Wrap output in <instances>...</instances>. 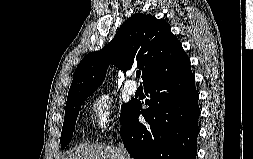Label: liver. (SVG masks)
<instances>
[{
  "mask_svg": "<svg viewBox=\"0 0 253 159\" xmlns=\"http://www.w3.org/2000/svg\"><path fill=\"white\" fill-rule=\"evenodd\" d=\"M65 159H120V152L115 146L83 145L72 150Z\"/></svg>",
  "mask_w": 253,
  "mask_h": 159,
  "instance_id": "6515ba94",
  "label": "liver"
}]
</instances>
